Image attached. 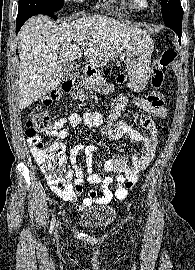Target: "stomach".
Masks as SVG:
<instances>
[{"instance_id":"0dacf381","label":"stomach","mask_w":195,"mask_h":270,"mask_svg":"<svg viewBox=\"0 0 195 270\" xmlns=\"http://www.w3.org/2000/svg\"><path fill=\"white\" fill-rule=\"evenodd\" d=\"M154 42L148 35H138L132 38L130 45L125 49V64L129 76V87L140 92L148 83L151 75V55ZM89 83L96 91L108 94L114 90L113 84L107 83L98 73L89 78Z\"/></svg>"}]
</instances>
